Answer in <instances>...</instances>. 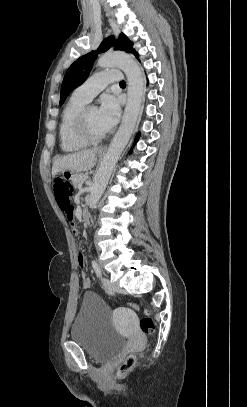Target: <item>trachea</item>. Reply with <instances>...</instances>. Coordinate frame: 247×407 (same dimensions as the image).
Instances as JSON below:
<instances>
[{
  "label": "trachea",
  "mask_w": 247,
  "mask_h": 407,
  "mask_svg": "<svg viewBox=\"0 0 247 407\" xmlns=\"http://www.w3.org/2000/svg\"><path fill=\"white\" fill-rule=\"evenodd\" d=\"M119 84L120 85H126V83L124 81H121Z\"/></svg>",
  "instance_id": "1"
}]
</instances>
